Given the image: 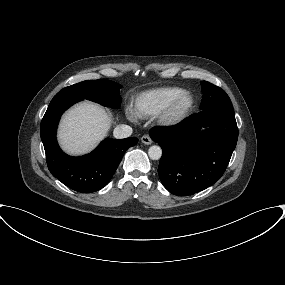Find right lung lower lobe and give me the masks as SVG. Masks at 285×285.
I'll return each instance as SVG.
<instances>
[{
    "instance_id": "98d812e1",
    "label": "right lung lower lobe",
    "mask_w": 285,
    "mask_h": 285,
    "mask_svg": "<svg viewBox=\"0 0 285 285\" xmlns=\"http://www.w3.org/2000/svg\"><path fill=\"white\" fill-rule=\"evenodd\" d=\"M78 101L80 100L72 95L57 93L42 119L40 136L51 174L77 192L91 193L109 183L124 153L136 145L138 139H105L87 155H66L58 146L56 130L62 113Z\"/></svg>"
}]
</instances>
